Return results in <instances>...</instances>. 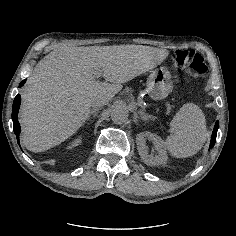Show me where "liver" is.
Returning <instances> with one entry per match:
<instances>
[{
	"label": "liver",
	"mask_w": 236,
	"mask_h": 236,
	"mask_svg": "<svg viewBox=\"0 0 236 236\" xmlns=\"http://www.w3.org/2000/svg\"><path fill=\"white\" fill-rule=\"evenodd\" d=\"M167 49L126 44L66 46L37 63L22 93L20 123L25 147L49 150L74 135L92 106L108 103L123 83L144 73L150 54L168 55ZM101 74L105 81H98Z\"/></svg>",
	"instance_id": "obj_1"
}]
</instances>
